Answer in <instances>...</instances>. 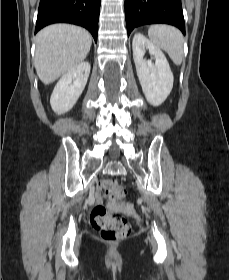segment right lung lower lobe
Segmentation results:
<instances>
[{
  "label": "right lung lower lobe",
  "instance_id": "obj_1",
  "mask_svg": "<svg viewBox=\"0 0 229 280\" xmlns=\"http://www.w3.org/2000/svg\"><path fill=\"white\" fill-rule=\"evenodd\" d=\"M101 0H40L35 33L59 22L76 24L90 31L97 42Z\"/></svg>",
  "mask_w": 229,
  "mask_h": 280
}]
</instances>
